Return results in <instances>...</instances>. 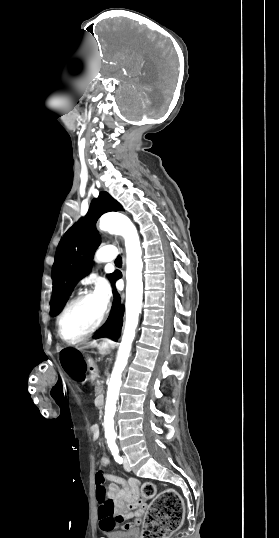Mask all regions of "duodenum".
Listing matches in <instances>:
<instances>
[{
	"instance_id": "410a0bca",
	"label": "duodenum",
	"mask_w": 279,
	"mask_h": 538,
	"mask_svg": "<svg viewBox=\"0 0 279 538\" xmlns=\"http://www.w3.org/2000/svg\"><path fill=\"white\" fill-rule=\"evenodd\" d=\"M99 369V366L97 364H92L90 366V372H91V378H90V381L92 383H95L97 381V378L98 377V372L97 370ZM104 400V397L102 395H99L97 396V401H95V406L99 407V410H104V405H103V401Z\"/></svg>"
}]
</instances>
